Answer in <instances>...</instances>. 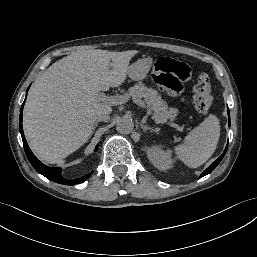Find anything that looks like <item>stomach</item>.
I'll list each match as a JSON object with an SVG mask.
<instances>
[{
    "mask_svg": "<svg viewBox=\"0 0 257 257\" xmlns=\"http://www.w3.org/2000/svg\"><path fill=\"white\" fill-rule=\"evenodd\" d=\"M152 58H143L129 66L127 75L134 81L144 79L150 71Z\"/></svg>",
    "mask_w": 257,
    "mask_h": 257,
    "instance_id": "0dacf381",
    "label": "stomach"
}]
</instances>
